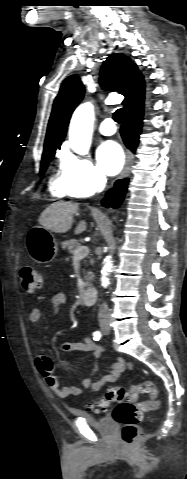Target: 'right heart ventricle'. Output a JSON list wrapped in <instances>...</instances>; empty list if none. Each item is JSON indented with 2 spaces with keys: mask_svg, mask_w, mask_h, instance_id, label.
Listing matches in <instances>:
<instances>
[{
  "mask_svg": "<svg viewBox=\"0 0 187 479\" xmlns=\"http://www.w3.org/2000/svg\"><path fill=\"white\" fill-rule=\"evenodd\" d=\"M49 191L55 197H64L67 194L62 178L60 176H53L49 180Z\"/></svg>",
  "mask_w": 187,
  "mask_h": 479,
  "instance_id": "e07e8e85",
  "label": "right heart ventricle"
}]
</instances>
